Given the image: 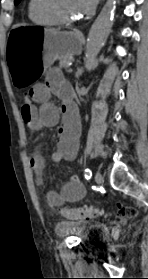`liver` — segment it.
<instances>
[{
	"mask_svg": "<svg viewBox=\"0 0 148 279\" xmlns=\"http://www.w3.org/2000/svg\"><path fill=\"white\" fill-rule=\"evenodd\" d=\"M47 31H57V30H54V29H49V30H47Z\"/></svg>",
	"mask_w": 148,
	"mask_h": 279,
	"instance_id": "6515ba94",
	"label": "liver"
}]
</instances>
